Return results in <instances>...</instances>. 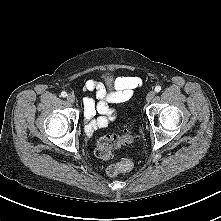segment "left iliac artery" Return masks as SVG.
I'll use <instances>...</instances> for the list:
<instances>
[{"mask_svg":"<svg viewBox=\"0 0 221 221\" xmlns=\"http://www.w3.org/2000/svg\"><path fill=\"white\" fill-rule=\"evenodd\" d=\"M160 90H161V86L158 85V86L155 87V92L158 93V92H160Z\"/></svg>","mask_w":221,"mask_h":221,"instance_id":"1","label":"left iliac artery"}]
</instances>
